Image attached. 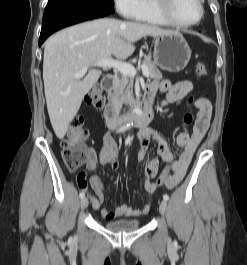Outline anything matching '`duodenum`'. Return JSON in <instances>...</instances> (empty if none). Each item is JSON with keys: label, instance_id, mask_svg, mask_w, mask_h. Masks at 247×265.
<instances>
[{"label": "duodenum", "instance_id": "1", "mask_svg": "<svg viewBox=\"0 0 247 265\" xmlns=\"http://www.w3.org/2000/svg\"><path fill=\"white\" fill-rule=\"evenodd\" d=\"M116 80V77L113 74H106L101 82V86L109 90L113 87V84ZM105 120L109 127L117 128L121 124L131 126H140L145 127L153 119L154 113L150 107V101L146 103V106L143 111L132 113L127 116L120 115L118 109L111 104H108L104 109Z\"/></svg>", "mask_w": 247, "mask_h": 265}]
</instances>
